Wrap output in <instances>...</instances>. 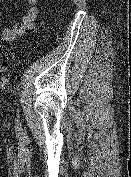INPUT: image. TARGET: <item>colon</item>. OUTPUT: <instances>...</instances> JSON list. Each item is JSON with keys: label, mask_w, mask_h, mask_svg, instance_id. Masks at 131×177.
<instances>
[{"label": "colon", "mask_w": 131, "mask_h": 177, "mask_svg": "<svg viewBox=\"0 0 131 177\" xmlns=\"http://www.w3.org/2000/svg\"><path fill=\"white\" fill-rule=\"evenodd\" d=\"M6 68L5 63H0V73L3 72Z\"/></svg>", "instance_id": "1"}]
</instances>
